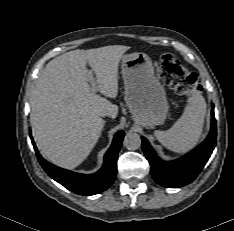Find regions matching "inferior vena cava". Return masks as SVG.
<instances>
[{
  "label": "inferior vena cava",
  "instance_id": "obj_1",
  "mask_svg": "<svg viewBox=\"0 0 234 231\" xmlns=\"http://www.w3.org/2000/svg\"><path fill=\"white\" fill-rule=\"evenodd\" d=\"M100 116L104 117V116H108V114L103 112V113H100Z\"/></svg>",
  "mask_w": 234,
  "mask_h": 231
}]
</instances>
